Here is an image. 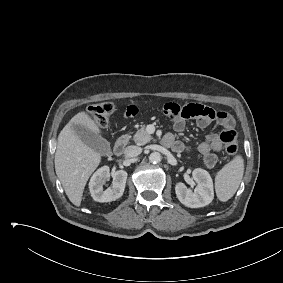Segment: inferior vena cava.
I'll list each match as a JSON object with an SVG mask.
<instances>
[{"label": "inferior vena cava", "instance_id": "inferior-vena-cava-1", "mask_svg": "<svg viewBox=\"0 0 283 283\" xmlns=\"http://www.w3.org/2000/svg\"><path fill=\"white\" fill-rule=\"evenodd\" d=\"M142 152V148L139 147V146H128L126 147L125 151H124V154L126 157H136L138 155H140Z\"/></svg>", "mask_w": 283, "mask_h": 283}]
</instances>
